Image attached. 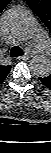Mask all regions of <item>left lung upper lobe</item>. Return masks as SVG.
Instances as JSON below:
<instances>
[{"label": "left lung upper lobe", "mask_w": 51, "mask_h": 153, "mask_svg": "<svg viewBox=\"0 0 51 153\" xmlns=\"http://www.w3.org/2000/svg\"><path fill=\"white\" fill-rule=\"evenodd\" d=\"M51 32V0H26ZM51 76V74H50Z\"/></svg>", "instance_id": "1"}]
</instances>
